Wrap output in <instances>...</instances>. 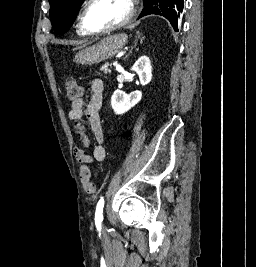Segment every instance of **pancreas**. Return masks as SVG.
Instances as JSON below:
<instances>
[{"label":"pancreas","instance_id":"1","mask_svg":"<svg viewBox=\"0 0 256 267\" xmlns=\"http://www.w3.org/2000/svg\"><path fill=\"white\" fill-rule=\"evenodd\" d=\"M108 66L109 64H105V66H102L101 70L102 72H104V74H108V72H110Z\"/></svg>","mask_w":256,"mask_h":267}]
</instances>
